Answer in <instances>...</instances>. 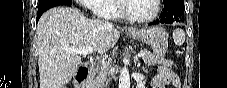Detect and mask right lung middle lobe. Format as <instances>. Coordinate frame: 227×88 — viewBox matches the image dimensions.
I'll use <instances>...</instances> for the list:
<instances>
[{
	"label": "right lung middle lobe",
	"instance_id": "right-lung-middle-lobe-1",
	"mask_svg": "<svg viewBox=\"0 0 227 88\" xmlns=\"http://www.w3.org/2000/svg\"><path fill=\"white\" fill-rule=\"evenodd\" d=\"M72 0H39L38 9L51 8L57 5H71Z\"/></svg>",
	"mask_w": 227,
	"mask_h": 88
}]
</instances>
